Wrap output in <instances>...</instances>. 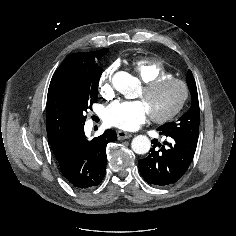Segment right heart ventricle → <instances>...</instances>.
<instances>
[{"label":"right heart ventricle","instance_id":"e07e8e85","mask_svg":"<svg viewBox=\"0 0 236 236\" xmlns=\"http://www.w3.org/2000/svg\"><path fill=\"white\" fill-rule=\"evenodd\" d=\"M133 68L144 84L159 78L172 77L163 62L156 58H140L134 61Z\"/></svg>","mask_w":236,"mask_h":236}]
</instances>
